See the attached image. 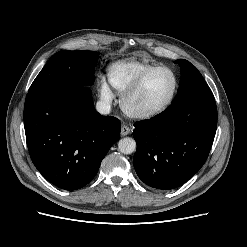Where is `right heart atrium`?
I'll return each mask as SVG.
<instances>
[{"label": "right heart atrium", "mask_w": 247, "mask_h": 247, "mask_svg": "<svg viewBox=\"0 0 247 247\" xmlns=\"http://www.w3.org/2000/svg\"><path fill=\"white\" fill-rule=\"evenodd\" d=\"M99 93L101 99L107 103H110L114 99V93L106 80H101Z\"/></svg>", "instance_id": "obj_1"}]
</instances>
